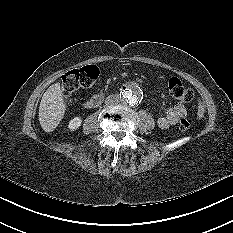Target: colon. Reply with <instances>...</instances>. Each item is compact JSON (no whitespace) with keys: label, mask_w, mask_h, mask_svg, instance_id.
Here are the masks:
<instances>
[{"label":"colon","mask_w":233,"mask_h":233,"mask_svg":"<svg viewBox=\"0 0 233 233\" xmlns=\"http://www.w3.org/2000/svg\"><path fill=\"white\" fill-rule=\"evenodd\" d=\"M99 69L95 65H87L78 69H73L62 77V93L66 99L78 89L90 87L98 78ZM170 95L180 101L190 102L194 99L193 89L177 77H172L168 82ZM190 123L186 118L179 121V129L186 131Z\"/></svg>","instance_id":"1"}]
</instances>
